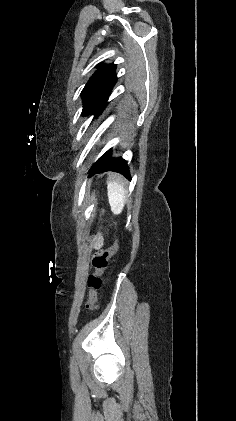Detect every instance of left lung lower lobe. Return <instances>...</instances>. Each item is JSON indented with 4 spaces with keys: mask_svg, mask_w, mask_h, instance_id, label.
<instances>
[{
    "mask_svg": "<svg viewBox=\"0 0 236 421\" xmlns=\"http://www.w3.org/2000/svg\"><path fill=\"white\" fill-rule=\"evenodd\" d=\"M104 171H115L123 174L128 179L130 178L129 168L127 163L122 158H111V151H107L102 155L91 167L89 172V177L93 176L96 173H101Z\"/></svg>",
    "mask_w": 236,
    "mask_h": 421,
    "instance_id": "obj_1",
    "label": "left lung lower lobe"
}]
</instances>
